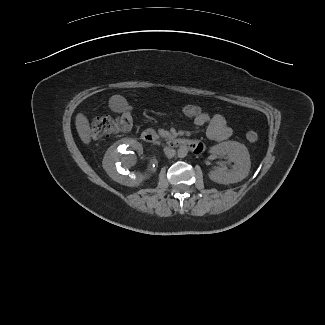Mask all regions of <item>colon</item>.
<instances>
[{"instance_id":"1","label":"colon","mask_w":325,"mask_h":325,"mask_svg":"<svg viewBox=\"0 0 325 325\" xmlns=\"http://www.w3.org/2000/svg\"><path fill=\"white\" fill-rule=\"evenodd\" d=\"M180 112L193 120L206 114L203 107L195 104L181 106ZM132 126V111L130 108H125L117 118L108 115L94 118L91 123V135L93 139L100 140L119 133L130 132ZM246 138L250 142H254L258 139V134L256 131L250 130L246 133Z\"/></svg>"}]
</instances>
